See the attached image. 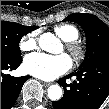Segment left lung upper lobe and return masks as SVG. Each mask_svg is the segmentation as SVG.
<instances>
[{"mask_svg":"<svg viewBox=\"0 0 109 109\" xmlns=\"http://www.w3.org/2000/svg\"><path fill=\"white\" fill-rule=\"evenodd\" d=\"M64 21L76 22L86 34V57L80 68H84L96 60L109 58V27L103 21L95 15L87 13H73ZM68 90L66 96L68 101L76 102L80 97V91L78 88Z\"/></svg>","mask_w":109,"mask_h":109,"instance_id":"obj_1","label":"left lung upper lobe"}]
</instances>
